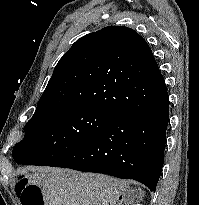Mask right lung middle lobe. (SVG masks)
I'll list each match as a JSON object with an SVG mask.
<instances>
[{"label": "right lung middle lobe", "instance_id": "right-lung-middle-lobe-1", "mask_svg": "<svg viewBox=\"0 0 199 205\" xmlns=\"http://www.w3.org/2000/svg\"><path fill=\"white\" fill-rule=\"evenodd\" d=\"M115 116L87 105L36 110L24 127V139L13 148V159L20 165L50 166L95 138Z\"/></svg>", "mask_w": 199, "mask_h": 205}]
</instances>
